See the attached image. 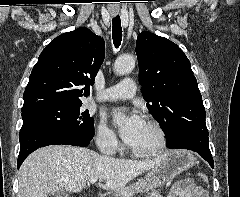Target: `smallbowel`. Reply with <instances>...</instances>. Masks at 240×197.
I'll return each mask as SVG.
<instances>
[{
  "label": "small bowel",
  "instance_id": "c3829d8e",
  "mask_svg": "<svg viewBox=\"0 0 240 197\" xmlns=\"http://www.w3.org/2000/svg\"><path fill=\"white\" fill-rule=\"evenodd\" d=\"M169 197H209V195L202 187L186 180L177 184L170 192Z\"/></svg>",
  "mask_w": 240,
  "mask_h": 197
}]
</instances>
